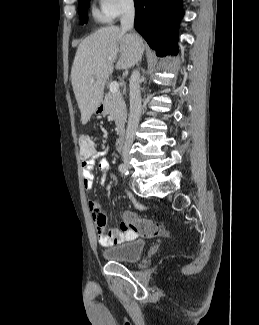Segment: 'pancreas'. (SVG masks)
I'll list each match as a JSON object with an SVG mask.
<instances>
[{"label":"pancreas","mask_w":259,"mask_h":325,"mask_svg":"<svg viewBox=\"0 0 259 325\" xmlns=\"http://www.w3.org/2000/svg\"><path fill=\"white\" fill-rule=\"evenodd\" d=\"M104 103L106 106V114H109L115 121L116 133L122 135L124 133V126L127 119V108L122 94L120 92H108L105 95Z\"/></svg>","instance_id":"pancreas-1"}]
</instances>
